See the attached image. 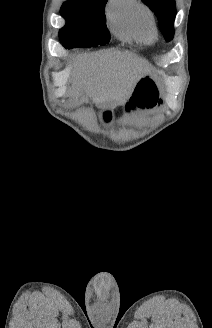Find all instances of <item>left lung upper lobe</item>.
<instances>
[{
	"label": "left lung upper lobe",
	"mask_w": 212,
	"mask_h": 328,
	"mask_svg": "<svg viewBox=\"0 0 212 328\" xmlns=\"http://www.w3.org/2000/svg\"><path fill=\"white\" fill-rule=\"evenodd\" d=\"M157 16L165 40L170 41L174 35L173 23L176 16L174 0H142Z\"/></svg>",
	"instance_id": "5c2ea615"
}]
</instances>
